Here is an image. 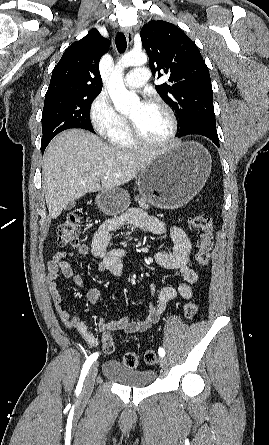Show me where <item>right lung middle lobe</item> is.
Returning <instances> with one entry per match:
<instances>
[{
	"label": "right lung middle lobe",
	"instance_id": "obj_1",
	"mask_svg": "<svg viewBox=\"0 0 269 445\" xmlns=\"http://www.w3.org/2000/svg\"><path fill=\"white\" fill-rule=\"evenodd\" d=\"M99 93L46 94L42 113L41 150L59 132L69 128H82L94 133L89 120V108Z\"/></svg>",
	"mask_w": 269,
	"mask_h": 445
}]
</instances>
